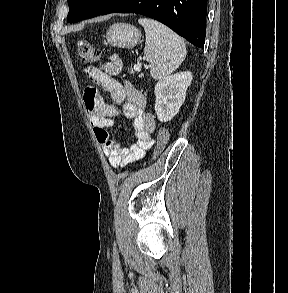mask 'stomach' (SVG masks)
Masks as SVG:
<instances>
[{
    "instance_id": "0dacf381",
    "label": "stomach",
    "mask_w": 288,
    "mask_h": 293,
    "mask_svg": "<svg viewBox=\"0 0 288 293\" xmlns=\"http://www.w3.org/2000/svg\"><path fill=\"white\" fill-rule=\"evenodd\" d=\"M106 39L114 47L133 48L141 42V32L126 23H115L107 30Z\"/></svg>"
}]
</instances>
